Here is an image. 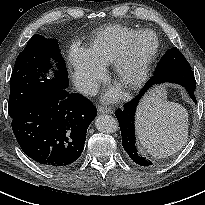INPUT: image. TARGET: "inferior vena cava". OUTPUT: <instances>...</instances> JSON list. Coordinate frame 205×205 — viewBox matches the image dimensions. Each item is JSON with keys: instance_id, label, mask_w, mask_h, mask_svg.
Returning <instances> with one entry per match:
<instances>
[{"instance_id": "obj_1", "label": "inferior vena cava", "mask_w": 205, "mask_h": 205, "mask_svg": "<svg viewBox=\"0 0 205 205\" xmlns=\"http://www.w3.org/2000/svg\"><path fill=\"white\" fill-rule=\"evenodd\" d=\"M75 88L78 92L86 95H96L99 90L98 84L90 80H77Z\"/></svg>"}]
</instances>
